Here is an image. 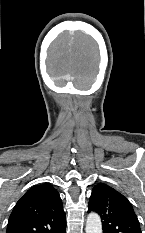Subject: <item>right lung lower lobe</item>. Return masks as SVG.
Returning a JSON list of instances; mask_svg holds the SVG:
<instances>
[{
	"label": "right lung lower lobe",
	"mask_w": 145,
	"mask_h": 233,
	"mask_svg": "<svg viewBox=\"0 0 145 233\" xmlns=\"http://www.w3.org/2000/svg\"><path fill=\"white\" fill-rule=\"evenodd\" d=\"M66 224L60 227L55 233H65Z\"/></svg>",
	"instance_id": "obj_1"
}]
</instances>
